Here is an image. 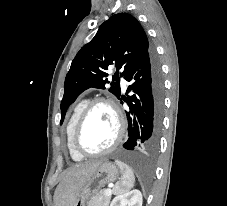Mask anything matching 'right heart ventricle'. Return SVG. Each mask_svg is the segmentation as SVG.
I'll list each match as a JSON object with an SVG mask.
<instances>
[{"label":"right heart ventricle","mask_w":227,"mask_h":206,"mask_svg":"<svg viewBox=\"0 0 227 206\" xmlns=\"http://www.w3.org/2000/svg\"><path fill=\"white\" fill-rule=\"evenodd\" d=\"M89 101L87 99H82L73 107L72 112L69 116L67 125H66V140H67V147L70 153V156L75 161H81L84 157L80 154H78L72 147V133L74 126L77 122V119L84 109V107L87 105Z\"/></svg>","instance_id":"e07e8e85"}]
</instances>
